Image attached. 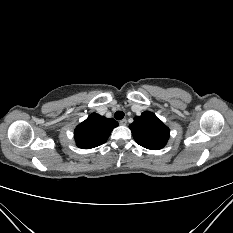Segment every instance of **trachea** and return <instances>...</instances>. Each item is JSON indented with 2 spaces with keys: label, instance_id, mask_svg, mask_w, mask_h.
I'll return each instance as SVG.
<instances>
[{
  "label": "trachea",
  "instance_id": "1",
  "mask_svg": "<svg viewBox=\"0 0 233 233\" xmlns=\"http://www.w3.org/2000/svg\"><path fill=\"white\" fill-rule=\"evenodd\" d=\"M114 117H115L116 120H121V119H123V117H124V112H122V111H117V112L114 114Z\"/></svg>",
  "mask_w": 233,
  "mask_h": 233
}]
</instances>
